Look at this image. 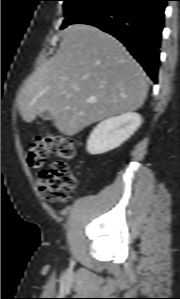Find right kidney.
Wrapping results in <instances>:
<instances>
[{
  "mask_svg": "<svg viewBox=\"0 0 180 299\" xmlns=\"http://www.w3.org/2000/svg\"><path fill=\"white\" fill-rule=\"evenodd\" d=\"M141 116L127 112L120 116L110 117L100 122L91 132L87 141L89 154H103L119 147L140 127Z\"/></svg>",
  "mask_w": 180,
  "mask_h": 299,
  "instance_id": "ca27d5eb",
  "label": "right kidney"
}]
</instances>
